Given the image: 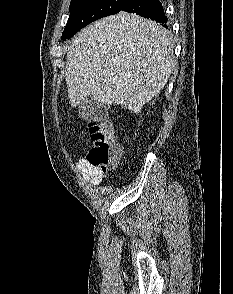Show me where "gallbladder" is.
<instances>
[{
	"label": "gallbladder",
	"mask_w": 233,
	"mask_h": 294,
	"mask_svg": "<svg viewBox=\"0 0 233 294\" xmlns=\"http://www.w3.org/2000/svg\"><path fill=\"white\" fill-rule=\"evenodd\" d=\"M79 112L85 120L95 121L99 119V106L92 95L86 96L81 101Z\"/></svg>",
	"instance_id": "obj_1"
}]
</instances>
